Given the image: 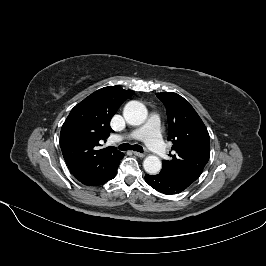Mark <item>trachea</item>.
I'll return each mask as SVG.
<instances>
[{
    "label": "trachea",
    "mask_w": 266,
    "mask_h": 266,
    "mask_svg": "<svg viewBox=\"0 0 266 266\" xmlns=\"http://www.w3.org/2000/svg\"><path fill=\"white\" fill-rule=\"evenodd\" d=\"M118 148L119 150H122V151L133 150V151H137L141 153L143 152V148L138 144L130 145L129 143H123Z\"/></svg>",
    "instance_id": "trachea-1"
}]
</instances>
